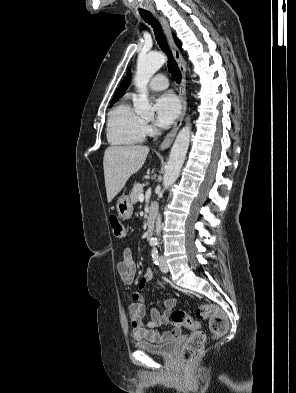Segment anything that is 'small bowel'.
<instances>
[{"instance_id":"small-bowel-1","label":"small bowel","mask_w":296,"mask_h":393,"mask_svg":"<svg viewBox=\"0 0 296 393\" xmlns=\"http://www.w3.org/2000/svg\"><path fill=\"white\" fill-rule=\"evenodd\" d=\"M116 270L124 284L131 285L133 283L136 266L130 249L124 250L122 258L116 264ZM154 281L164 286L163 282L156 278L153 270H146L138 283L137 290L133 291L131 294L129 318L132 326V334L136 340H144L158 344L178 336L181 332V327L176 324L172 331H158V328L163 325L173 324L170 320V314L177 306V298H170L163 302L165 307L163 313H160L156 306L152 307L150 321H143V317L146 314V305L141 292L147 284Z\"/></svg>"}]
</instances>
